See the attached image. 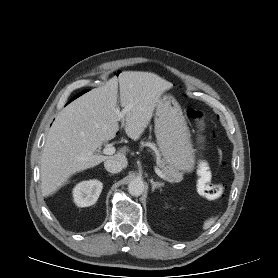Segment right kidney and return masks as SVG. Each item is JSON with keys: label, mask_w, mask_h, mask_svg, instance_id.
<instances>
[{"label": "right kidney", "mask_w": 278, "mask_h": 278, "mask_svg": "<svg viewBox=\"0 0 278 278\" xmlns=\"http://www.w3.org/2000/svg\"><path fill=\"white\" fill-rule=\"evenodd\" d=\"M103 188L99 180L78 183L73 189L74 202L78 207H88L96 203Z\"/></svg>", "instance_id": "ca27d5eb"}]
</instances>
